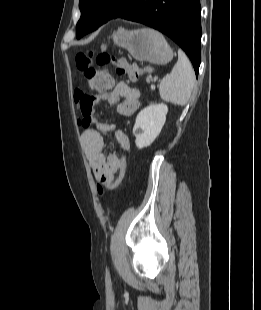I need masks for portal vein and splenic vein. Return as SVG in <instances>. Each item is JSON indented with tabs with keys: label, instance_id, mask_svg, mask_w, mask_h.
<instances>
[{
	"label": "portal vein and splenic vein",
	"instance_id": "18ae733b",
	"mask_svg": "<svg viewBox=\"0 0 261 310\" xmlns=\"http://www.w3.org/2000/svg\"><path fill=\"white\" fill-rule=\"evenodd\" d=\"M151 89H155V86L152 85V86H151Z\"/></svg>",
	"mask_w": 261,
	"mask_h": 310
}]
</instances>
